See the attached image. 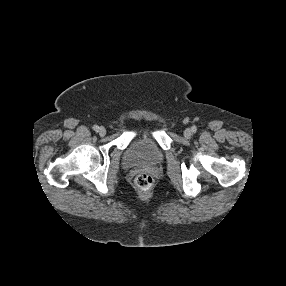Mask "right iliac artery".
Instances as JSON below:
<instances>
[{
  "label": "right iliac artery",
  "instance_id": "1",
  "mask_svg": "<svg viewBox=\"0 0 286 286\" xmlns=\"http://www.w3.org/2000/svg\"><path fill=\"white\" fill-rule=\"evenodd\" d=\"M98 128H99L98 125H94V126H93V129H94L95 131H97Z\"/></svg>",
  "mask_w": 286,
  "mask_h": 286
}]
</instances>
